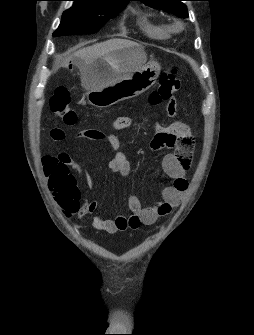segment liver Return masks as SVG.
I'll use <instances>...</instances> for the list:
<instances>
[{
    "label": "liver",
    "instance_id": "6515ba94",
    "mask_svg": "<svg viewBox=\"0 0 254 335\" xmlns=\"http://www.w3.org/2000/svg\"><path fill=\"white\" fill-rule=\"evenodd\" d=\"M137 45V43L129 40L110 39L76 51L74 56L79 60L78 65L81 72L82 85L86 88L85 74L97 59L103 56L109 57L111 53L119 49ZM67 61L68 58L65 60V63ZM121 78L122 76L117 77V79Z\"/></svg>",
    "mask_w": 254,
    "mask_h": 335
}]
</instances>
